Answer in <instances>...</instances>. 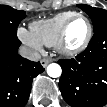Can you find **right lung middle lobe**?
Instances as JSON below:
<instances>
[{"label":"right lung middle lobe","instance_id":"right-lung-middle-lobe-1","mask_svg":"<svg viewBox=\"0 0 107 107\" xmlns=\"http://www.w3.org/2000/svg\"><path fill=\"white\" fill-rule=\"evenodd\" d=\"M25 16L24 11L0 5V38L17 39V27Z\"/></svg>","mask_w":107,"mask_h":107}]
</instances>
